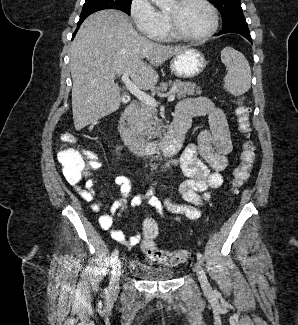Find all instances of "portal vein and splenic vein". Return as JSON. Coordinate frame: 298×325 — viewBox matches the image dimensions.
<instances>
[{
  "label": "portal vein and splenic vein",
  "instance_id": "1",
  "mask_svg": "<svg viewBox=\"0 0 298 325\" xmlns=\"http://www.w3.org/2000/svg\"><path fill=\"white\" fill-rule=\"evenodd\" d=\"M122 80L127 86L128 90L136 96V98H139L141 102H144V104H150V106H158L159 102H157L156 98L154 96H150V94H147V92H143V90H140L139 86H136L132 80L129 78V74L127 72H124L122 74ZM162 96H167L168 102H172V100H175L176 94L175 92H169V94H162Z\"/></svg>",
  "mask_w": 298,
  "mask_h": 325
}]
</instances>
